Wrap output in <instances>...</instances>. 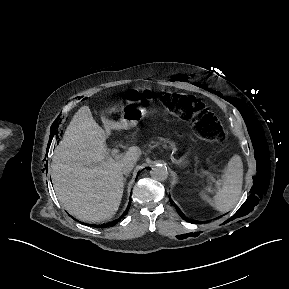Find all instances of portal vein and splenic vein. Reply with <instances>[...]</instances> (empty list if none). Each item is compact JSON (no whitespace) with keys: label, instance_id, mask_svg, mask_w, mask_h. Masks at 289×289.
<instances>
[{"label":"portal vein and splenic vein","instance_id":"1","mask_svg":"<svg viewBox=\"0 0 289 289\" xmlns=\"http://www.w3.org/2000/svg\"><path fill=\"white\" fill-rule=\"evenodd\" d=\"M113 158H119L117 150H113L111 152V157L109 159L112 160ZM205 175L207 176L209 181L217 183V185L219 184V182L209 172L205 171Z\"/></svg>","mask_w":289,"mask_h":289}]
</instances>
